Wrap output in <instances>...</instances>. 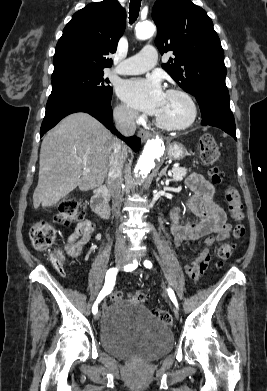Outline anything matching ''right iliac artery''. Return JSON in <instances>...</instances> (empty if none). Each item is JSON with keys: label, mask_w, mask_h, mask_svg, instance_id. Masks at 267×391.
<instances>
[{"label": "right iliac artery", "mask_w": 267, "mask_h": 391, "mask_svg": "<svg viewBox=\"0 0 267 391\" xmlns=\"http://www.w3.org/2000/svg\"><path fill=\"white\" fill-rule=\"evenodd\" d=\"M137 266H138L137 261H134L133 264L125 266L124 269H125V271H132V270L136 269ZM117 271L118 270L116 268H111V269H109L107 271L106 277H105V285H104L103 289L101 290V292L99 293V295H98V297H97V299H96V301H95V303L93 305V308H92L93 314L97 313L99 302L107 294H109L112 291L113 286L115 285Z\"/></svg>", "instance_id": "1"}]
</instances>
